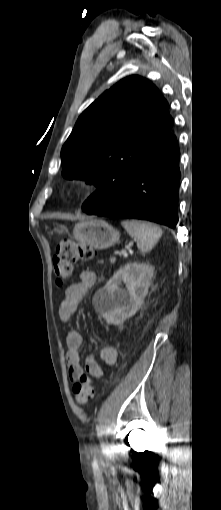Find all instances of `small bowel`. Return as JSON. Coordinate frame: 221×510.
<instances>
[{
  "label": "small bowel",
  "instance_id": "obj_1",
  "mask_svg": "<svg viewBox=\"0 0 221 510\" xmlns=\"http://www.w3.org/2000/svg\"><path fill=\"white\" fill-rule=\"evenodd\" d=\"M96 281V276L92 271L86 270L80 274L79 280L70 285L64 294V298L59 307V317L63 322L71 321L84 297L92 289ZM82 335L72 329L67 333V362L69 366V375L72 380H76L82 373H88L94 378H99L104 374V369L97 362L94 354H90L84 365L81 363ZM100 358L107 367L113 366L117 361V351L113 346L106 345L100 351Z\"/></svg>",
  "mask_w": 221,
  "mask_h": 510
}]
</instances>
